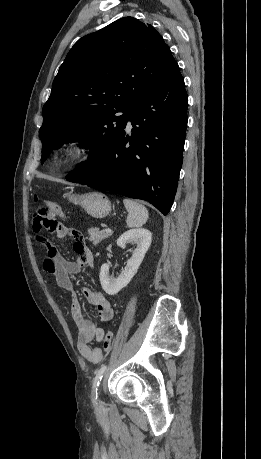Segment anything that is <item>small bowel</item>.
<instances>
[{
  "label": "small bowel",
  "instance_id": "small-bowel-1",
  "mask_svg": "<svg viewBox=\"0 0 261 459\" xmlns=\"http://www.w3.org/2000/svg\"><path fill=\"white\" fill-rule=\"evenodd\" d=\"M56 239H64L69 236L73 241V250L77 254V261H70L63 258L57 248L44 236L38 237L39 242L46 249L44 259V269L55 277L60 289L71 294L73 301L71 307V317L77 326V348L79 353L87 361L98 364L102 360V351L98 347H93L92 342H101L105 332L102 327L93 320L86 317L83 306L77 296V292L72 275L79 274L83 268L92 267L94 256L90 248L85 244L80 232L71 229L63 224L55 223L53 227L47 229ZM87 302L96 308L99 320L108 322L114 316L113 308L99 290L84 287L81 290Z\"/></svg>",
  "mask_w": 261,
  "mask_h": 459
}]
</instances>
